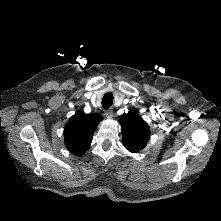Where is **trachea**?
I'll return each instance as SVG.
<instances>
[{
    "instance_id": "1",
    "label": "trachea",
    "mask_w": 221,
    "mask_h": 221,
    "mask_svg": "<svg viewBox=\"0 0 221 221\" xmlns=\"http://www.w3.org/2000/svg\"><path fill=\"white\" fill-rule=\"evenodd\" d=\"M113 103V94L111 92L106 93L102 99V107L108 109L112 106Z\"/></svg>"
}]
</instances>
